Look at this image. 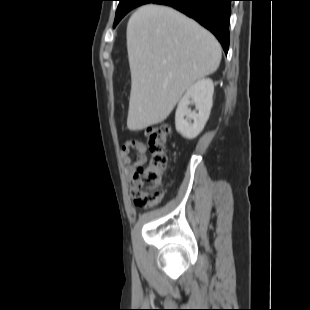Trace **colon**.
<instances>
[{
    "label": "colon",
    "mask_w": 310,
    "mask_h": 310,
    "mask_svg": "<svg viewBox=\"0 0 310 310\" xmlns=\"http://www.w3.org/2000/svg\"><path fill=\"white\" fill-rule=\"evenodd\" d=\"M170 134L171 128L167 125L153 126L145 133L150 157L145 165L137 168L131 181V194L137 206L152 208L163 199L168 167L166 143Z\"/></svg>",
    "instance_id": "obj_1"
}]
</instances>
